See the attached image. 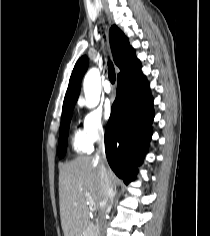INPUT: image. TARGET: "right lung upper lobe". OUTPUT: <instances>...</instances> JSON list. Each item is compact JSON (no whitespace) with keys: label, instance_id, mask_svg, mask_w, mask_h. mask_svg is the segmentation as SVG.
<instances>
[{"label":"right lung upper lobe","instance_id":"obj_1","mask_svg":"<svg viewBox=\"0 0 210 236\" xmlns=\"http://www.w3.org/2000/svg\"><path fill=\"white\" fill-rule=\"evenodd\" d=\"M109 39L114 62L120 69L118 77L127 74L140 66V61L136 58L135 51L129 45L127 37L116 25H113L110 28ZM87 66L88 58L87 56H82L77 61L72 71L69 86L64 98L62 112L70 109L73 110L79 96L81 79Z\"/></svg>","mask_w":210,"mask_h":236}]
</instances>
